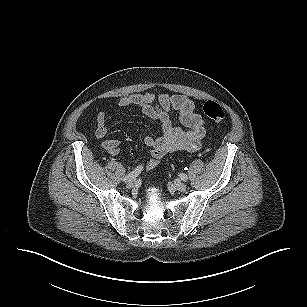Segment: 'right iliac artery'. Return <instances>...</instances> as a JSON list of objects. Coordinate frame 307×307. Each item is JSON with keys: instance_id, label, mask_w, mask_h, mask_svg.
<instances>
[{"instance_id": "obj_1", "label": "right iliac artery", "mask_w": 307, "mask_h": 307, "mask_svg": "<svg viewBox=\"0 0 307 307\" xmlns=\"http://www.w3.org/2000/svg\"><path fill=\"white\" fill-rule=\"evenodd\" d=\"M143 166H137V168H135L132 172H130L128 175H126L123 178V181L125 183L132 181L133 179H135L142 171Z\"/></svg>"}]
</instances>
